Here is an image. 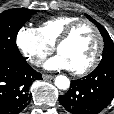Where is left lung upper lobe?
<instances>
[{
    "mask_svg": "<svg viewBox=\"0 0 114 114\" xmlns=\"http://www.w3.org/2000/svg\"><path fill=\"white\" fill-rule=\"evenodd\" d=\"M87 18L98 27L101 35L104 38L105 44H104V49H103V55H102V60L99 65L114 64V43L112 39L110 38L108 32L102 25L97 23L90 16L87 15Z\"/></svg>",
    "mask_w": 114,
    "mask_h": 114,
    "instance_id": "1",
    "label": "left lung upper lobe"
}]
</instances>
